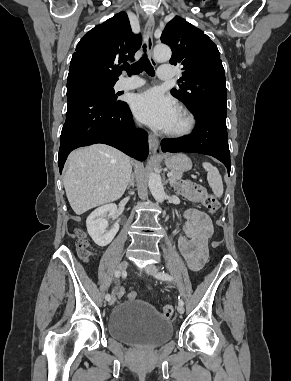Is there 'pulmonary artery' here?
I'll return each instance as SVG.
<instances>
[{
    "label": "pulmonary artery",
    "mask_w": 291,
    "mask_h": 381,
    "mask_svg": "<svg viewBox=\"0 0 291 381\" xmlns=\"http://www.w3.org/2000/svg\"><path fill=\"white\" fill-rule=\"evenodd\" d=\"M175 75V67L172 65H161L158 69V76L161 80H172ZM144 84V81L138 77L123 78L117 82L118 90H131Z\"/></svg>",
    "instance_id": "pulmonary-artery-1"
}]
</instances>
